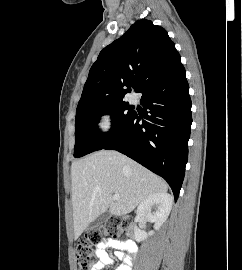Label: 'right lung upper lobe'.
I'll list each match as a JSON object with an SVG mask.
<instances>
[{
    "label": "right lung upper lobe",
    "mask_w": 242,
    "mask_h": 270,
    "mask_svg": "<svg viewBox=\"0 0 242 270\" xmlns=\"http://www.w3.org/2000/svg\"><path fill=\"white\" fill-rule=\"evenodd\" d=\"M180 62L164 28L138 20L119 39L105 47L92 65L77 111L123 100L130 87L142 90Z\"/></svg>",
    "instance_id": "cb5924a9"
}]
</instances>
